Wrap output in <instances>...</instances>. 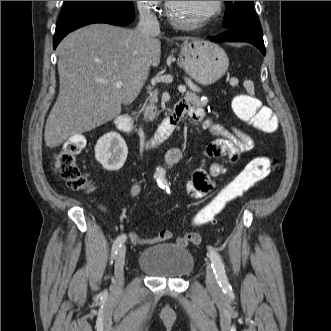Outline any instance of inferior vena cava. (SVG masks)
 I'll return each mask as SVG.
<instances>
[{"instance_id":"inferior-vena-cava-1","label":"inferior vena cava","mask_w":331,"mask_h":331,"mask_svg":"<svg viewBox=\"0 0 331 331\" xmlns=\"http://www.w3.org/2000/svg\"><path fill=\"white\" fill-rule=\"evenodd\" d=\"M138 30L141 31L147 38L160 34V27L157 17L150 11L149 8H142L140 10Z\"/></svg>"}]
</instances>
